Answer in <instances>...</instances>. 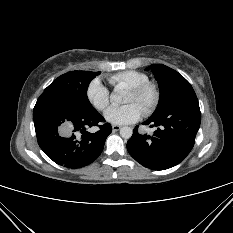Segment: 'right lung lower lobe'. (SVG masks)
I'll use <instances>...</instances> for the list:
<instances>
[{
    "instance_id": "98d812e1",
    "label": "right lung lower lobe",
    "mask_w": 233,
    "mask_h": 233,
    "mask_svg": "<svg viewBox=\"0 0 233 233\" xmlns=\"http://www.w3.org/2000/svg\"><path fill=\"white\" fill-rule=\"evenodd\" d=\"M33 120L40 148L55 163L72 169L97 159L112 131L111 125L105 123L95 133L86 132L104 118L95 109H78L51 93L38 98Z\"/></svg>"
}]
</instances>
